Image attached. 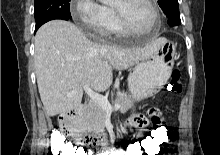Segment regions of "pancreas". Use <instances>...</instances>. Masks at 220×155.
Listing matches in <instances>:
<instances>
[{
  "label": "pancreas",
  "mask_w": 220,
  "mask_h": 155,
  "mask_svg": "<svg viewBox=\"0 0 220 155\" xmlns=\"http://www.w3.org/2000/svg\"><path fill=\"white\" fill-rule=\"evenodd\" d=\"M115 104L120 105V111L125 113L133 104V100L130 96L124 92H118ZM106 110L99 104L90 102L82 117V126L89 131H102L105 124Z\"/></svg>",
  "instance_id": "cf45deb5"
}]
</instances>
